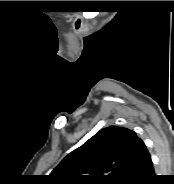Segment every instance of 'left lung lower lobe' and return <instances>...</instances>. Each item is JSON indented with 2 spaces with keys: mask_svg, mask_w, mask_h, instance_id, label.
Instances as JSON below:
<instances>
[{
  "mask_svg": "<svg viewBox=\"0 0 174 184\" xmlns=\"http://www.w3.org/2000/svg\"><path fill=\"white\" fill-rule=\"evenodd\" d=\"M154 178L151 157L142 141L132 161L127 180L124 184H151Z\"/></svg>",
  "mask_w": 174,
  "mask_h": 184,
  "instance_id": "obj_1",
  "label": "left lung lower lobe"
}]
</instances>
